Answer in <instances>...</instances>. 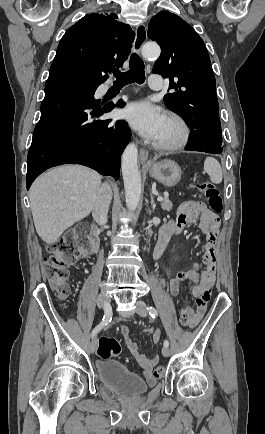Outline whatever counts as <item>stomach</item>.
Masks as SVG:
<instances>
[{
	"label": "stomach",
	"mask_w": 265,
	"mask_h": 434,
	"mask_svg": "<svg viewBox=\"0 0 265 434\" xmlns=\"http://www.w3.org/2000/svg\"><path fill=\"white\" fill-rule=\"evenodd\" d=\"M151 178H155L157 182L163 186H176L181 180V168L173 162V160H161L151 166H146Z\"/></svg>",
	"instance_id": "obj_1"
}]
</instances>
